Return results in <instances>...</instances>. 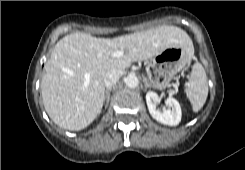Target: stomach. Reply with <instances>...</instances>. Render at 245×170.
Wrapping results in <instances>:
<instances>
[{
	"label": "stomach",
	"instance_id": "stomach-1",
	"mask_svg": "<svg viewBox=\"0 0 245 170\" xmlns=\"http://www.w3.org/2000/svg\"><path fill=\"white\" fill-rule=\"evenodd\" d=\"M192 55L184 47L167 48L160 54L150 58L147 63L148 81L157 89H165L171 81L190 62Z\"/></svg>",
	"mask_w": 245,
	"mask_h": 170
}]
</instances>
